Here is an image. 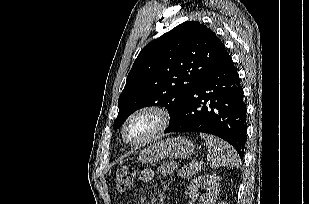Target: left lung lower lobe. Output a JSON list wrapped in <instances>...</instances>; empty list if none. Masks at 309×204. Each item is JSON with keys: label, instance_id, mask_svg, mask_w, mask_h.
Instances as JSON below:
<instances>
[{"label": "left lung lower lobe", "instance_id": "left-lung-lower-lobe-1", "mask_svg": "<svg viewBox=\"0 0 309 204\" xmlns=\"http://www.w3.org/2000/svg\"><path fill=\"white\" fill-rule=\"evenodd\" d=\"M202 132L230 143L243 159L247 132L246 105L239 76L230 55L199 81L165 133Z\"/></svg>", "mask_w": 309, "mask_h": 204}]
</instances>
